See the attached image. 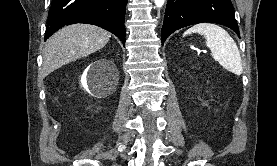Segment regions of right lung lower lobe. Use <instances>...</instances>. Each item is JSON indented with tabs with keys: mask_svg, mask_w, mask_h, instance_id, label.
Instances as JSON below:
<instances>
[{
	"mask_svg": "<svg viewBox=\"0 0 277 166\" xmlns=\"http://www.w3.org/2000/svg\"><path fill=\"white\" fill-rule=\"evenodd\" d=\"M127 0H52L44 40L64 25L88 23L119 37L125 44Z\"/></svg>",
	"mask_w": 277,
	"mask_h": 166,
	"instance_id": "98d812e1",
	"label": "right lung lower lobe"
}]
</instances>
